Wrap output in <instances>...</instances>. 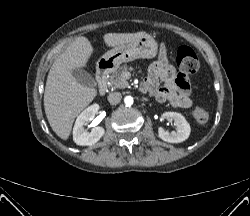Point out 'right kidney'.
<instances>
[{
	"label": "right kidney",
	"instance_id": "1",
	"mask_svg": "<svg viewBox=\"0 0 250 216\" xmlns=\"http://www.w3.org/2000/svg\"><path fill=\"white\" fill-rule=\"evenodd\" d=\"M99 110L98 104L87 107L76 119L73 127V140L77 145L90 146L97 143L105 134L102 127H94L90 132L84 129V125L90 122Z\"/></svg>",
	"mask_w": 250,
	"mask_h": 216
}]
</instances>
